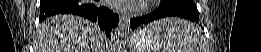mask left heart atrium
Returning a JSON list of instances; mask_svg holds the SVG:
<instances>
[{
  "instance_id": "left-heart-atrium-1",
  "label": "left heart atrium",
  "mask_w": 261,
  "mask_h": 52,
  "mask_svg": "<svg viewBox=\"0 0 261 52\" xmlns=\"http://www.w3.org/2000/svg\"><path fill=\"white\" fill-rule=\"evenodd\" d=\"M145 2L147 0H115L113 5L119 9H136Z\"/></svg>"
}]
</instances>
